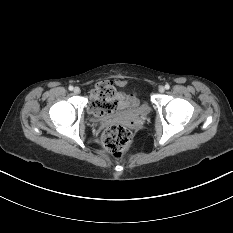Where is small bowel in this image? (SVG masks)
<instances>
[{"label": "small bowel", "mask_w": 233, "mask_h": 233, "mask_svg": "<svg viewBox=\"0 0 233 233\" xmlns=\"http://www.w3.org/2000/svg\"><path fill=\"white\" fill-rule=\"evenodd\" d=\"M135 97H127L124 94H117V99H118V107H124L126 106L132 99Z\"/></svg>", "instance_id": "obj_1"}]
</instances>
